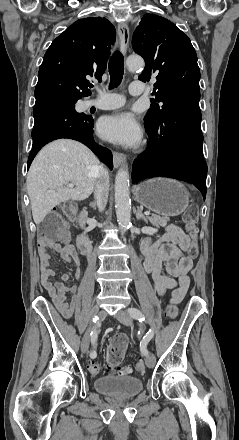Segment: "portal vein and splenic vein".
Masks as SVG:
<instances>
[{
	"label": "portal vein and splenic vein",
	"mask_w": 239,
	"mask_h": 440,
	"mask_svg": "<svg viewBox=\"0 0 239 440\" xmlns=\"http://www.w3.org/2000/svg\"><path fill=\"white\" fill-rule=\"evenodd\" d=\"M67 184L68 188H74V184H68V182H65ZM146 216H149L150 212L148 210L145 211Z\"/></svg>",
	"instance_id": "1"
}]
</instances>
